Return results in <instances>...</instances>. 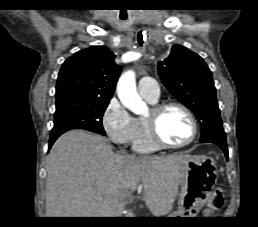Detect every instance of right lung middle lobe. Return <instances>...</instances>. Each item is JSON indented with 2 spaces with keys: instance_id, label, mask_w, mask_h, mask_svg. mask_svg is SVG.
I'll use <instances>...</instances> for the list:
<instances>
[{
  "instance_id": "1",
  "label": "right lung middle lobe",
  "mask_w": 258,
  "mask_h": 227,
  "mask_svg": "<svg viewBox=\"0 0 258 227\" xmlns=\"http://www.w3.org/2000/svg\"><path fill=\"white\" fill-rule=\"evenodd\" d=\"M109 101L94 100L76 95L56 97L54 126L85 129L105 135L102 116Z\"/></svg>"
}]
</instances>
